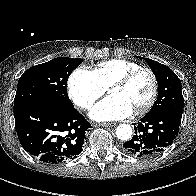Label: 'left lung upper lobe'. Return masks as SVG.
I'll return each mask as SVG.
<instances>
[{
	"mask_svg": "<svg viewBox=\"0 0 196 196\" xmlns=\"http://www.w3.org/2000/svg\"><path fill=\"white\" fill-rule=\"evenodd\" d=\"M140 58L147 61L158 82V97L148 113L169 111L182 115L184 99L180 79L166 65L151 59Z\"/></svg>",
	"mask_w": 196,
	"mask_h": 196,
	"instance_id": "left-lung-upper-lobe-1",
	"label": "left lung upper lobe"
}]
</instances>
